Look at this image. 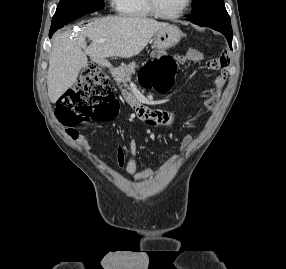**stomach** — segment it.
<instances>
[{"label": "stomach", "mask_w": 286, "mask_h": 269, "mask_svg": "<svg viewBox=\"0 0 286 269\" xmlns=\"http://www.w3.org/2000/svg\"><path fill=\"white\" fill-rule=\"evenodd\" d=\"M182 33L175 25L168 24L155 33L154 46L156 49H169L181 40Z\"/></svg>", "instance_id": "1"}]
</instances>
